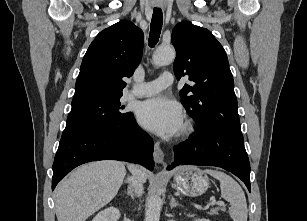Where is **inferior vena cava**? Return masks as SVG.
Segmentation results:
<instances>
[{
  "instance_id": "1",
  "label": "inferior vena cava",
  "mask_w": 307,
  "mask_h": 221,
  "mask_svg": "<svg viewBox=\"0 0 307 221\" xmlns=\"http://www.w3.org/2000/svg\"><path fill=\"white\" fill-rule=\"evenodd\" d=\"M127 182L132 186L133 191L141 196L143 193V185L141 181L136 176L128 177Z\"/></svg>"
}]
</instances>
